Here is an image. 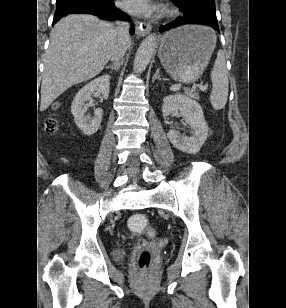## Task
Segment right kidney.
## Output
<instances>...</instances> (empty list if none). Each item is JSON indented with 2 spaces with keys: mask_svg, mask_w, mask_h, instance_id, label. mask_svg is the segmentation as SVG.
<instances>
[{
  "mask_svg": "<svg viewBox=\"0 0 286 308\" xmlns=\"http://www.w3.org/2000/svg\"><path fill=\"white\" fill-rule=\"evenodd\" d=\"M109 88L110 77L103 75L87 83L74 97L71 105V113L74 116L75 124L87 136L93 135L99 129L103 110L101 108L96 109L94 111V117L86 115V111L89 108V104L86 102L95 91L101 93L104 99H107L110 91Z\"/></svg>",
  "mask_w": 286,
  "mask_h": 308,
  "instance_id": "obj_1",
  "label": "right kidney"
}]
</instances>
